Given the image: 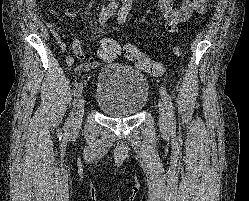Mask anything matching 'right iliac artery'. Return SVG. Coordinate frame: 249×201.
Returning a JSON list of instances; mask_svg holds the SVG:
<instances>
[{
  "mask_svg": "<svg viewBox=\"0 0 249 201\" xmlns=\"http://www.w3.org/2000/svg\"><path fill=\"white\" fill-rule=\"evenodd\" d=\"M119 3L118 2H111L109 3L107 6H105L102 11L100 12L99 15V23L101 25H103L107 19L113 15V13L116 11V9L118 8ZM82 90H83V84L82 82H78L76 84V88L74 91V102H73V110L76 107L77 102L79 101V98L82 94ZM72 110V112L70 113V116L68 117V119L65 122V130L69 131L71 129V127L73 126V116H74V111Z\"/></svg>",
  "mask_w": 249,
  "mask_h": 201,
  "instance_id": "1",
  "label": "right iliac artery"
}]
</instances>
